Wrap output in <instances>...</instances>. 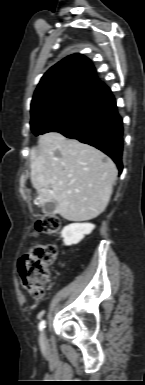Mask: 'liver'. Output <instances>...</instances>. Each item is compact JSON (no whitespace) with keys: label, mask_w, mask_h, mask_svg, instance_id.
<instances>
[{"label":"liver","mask_w":145,"mask_h":385,"mask_svg":"<svg viewBox=\"0 0 145 385\" xmlns=\"http://www.w3.org/2000/svg\"><path fill=\"white\" fill-rule=\"evenodd\" d=\"M34 203L54 202L56 213L69 221H86L107 207L118 171L100 150L58 132L40 136L30 151Z\"/></svg>","instance_id":"6515ba94"}]
</instances>
